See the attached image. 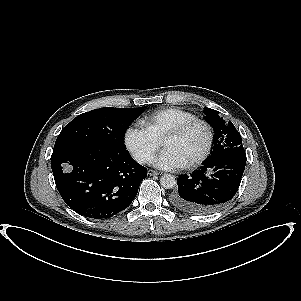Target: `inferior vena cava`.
I'll use <instances>...</instances> for the list:
<instances>
[{
  "mask_svg": "<svg viewBox=\"0 0 301 301\" xmlns=\"http://www.w3.org/2000/svg\"><path fill=\"white\" fill-rule=\"evenodd\" d=\"M148 159L149 158L147 156H144V155L138 157L139 162H145V161H148Z\"/></svg>",
  "mask_w": 301,
  "mask_h": 301,
  "instance_id": "1",
  "label": "inferior vena cava"
}]
</instances>
